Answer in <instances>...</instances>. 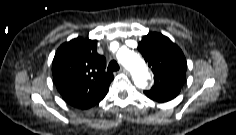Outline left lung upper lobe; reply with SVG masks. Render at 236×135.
Returning <instances> with one entry per match:
<instances>
[{"mask_svg":"<svg viewBox=\"0 0 236 135\" xmlns=\"http://www.w3.org/2000/svg\"><path fill=\"white\" fill-rule=\"evenodd\" d=\"M138 50L154 73V84L149 92L181 89L187 63L176 44L160 33H149L138 43Z\"/></svg>","mask_w":236,"mask_h":135,"instance_id":"obj_1","label":"left lung upper lobe"}]
</instances>
